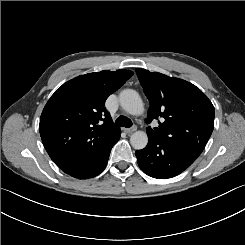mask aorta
<instances>
[{
  "label": "aorta",
  "mask_w": 245,
  "mask_h": 245,
  "mask_svg": "<svg viewBox=\"0 0 245 245\" xmlns=\"http://www.w3.org/2000/svg\"><path fill=\"white\" fill-rule=\"evenodd\" d=\"M119 102L122 108L131 115H141L144 105L139 94L132 89L120 92ZM130 143L134 149H144L148 144V136L144 131H136L130 137Z\"/></svg>",
  "instance_id": "obj_1"
}]
</instances>
